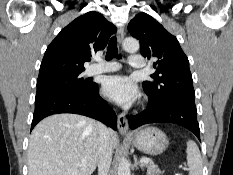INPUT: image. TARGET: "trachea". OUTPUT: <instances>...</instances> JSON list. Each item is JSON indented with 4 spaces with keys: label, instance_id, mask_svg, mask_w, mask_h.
<instances>
[{
    "label": "trachea",
    "instance_id": "3493384b",
    "mask_svg": "<svg viewBox=\"0 0 233 175\" xmlns=\"http://www.w3.org/2000/svg\"><path fill=\"white\" fill-rule=\"evenodd\" d=\"M112 58H119L117 49V38L115 36L110 39L106 53V60H110Z\"/></svg>",
    "mask_w": 233,
    "mask_h": 175
}]
</instances>
